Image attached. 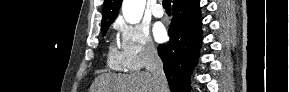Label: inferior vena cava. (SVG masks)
<instances>
[{
    "label": "inferior vena cava",
    "instance_id": "obj_1",
    "mask_svg": "<svg viewBox=\"0 0 289 92\" xmlns=\"http://www.w3.org/2000/svg\"><path fill=\"white\" fill-rule=\"evenodd\" d=\"M146 69L152 74L156 88L159 92L167 89V81L163 71V63L153 45L146 47Z\"/></svg>",
    "mask_w": 289,
    "mask_h": 92
}]
</instances>
